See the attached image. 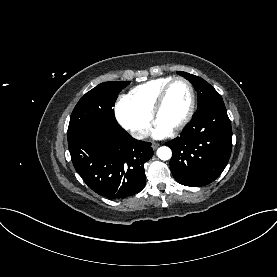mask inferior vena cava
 <instances>
[{
  "instance_id": "obj_1",
  "label": "inferior vena cava",
  "mask_w": 277,
  "mask_h": 277,
  "mask_svg": "<svg viewBox=\"0 0 277 277\" xmlns=\"http://www.w3.org/2000/svg\"><path fill=\"white\" fill-rule=\"evenodd\" d=\"M131 135L137 139H143L146 137V132L142 130L131 131Z\"/></svg>"
}]
</instances>
